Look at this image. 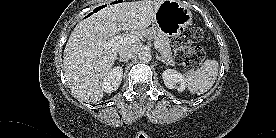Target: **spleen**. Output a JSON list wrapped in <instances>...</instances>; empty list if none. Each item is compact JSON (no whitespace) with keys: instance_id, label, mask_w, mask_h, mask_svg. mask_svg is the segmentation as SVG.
<instances>
[{"instance_id":"spleen-1","label":"spleen","mask_w":276,"mask_h":138,"mask_svg":"<svg viewBox=\"0 0 276 138\" xmlns=\"http://www.w3.org/2000/svg\"><path fill=\"white\" fill-rule=\"evenodd\" d=\"M219 64L216 60L207 59L204 64L194 70L186 72V85L189 91L194 94H203L214 84L218 74ZM185 75H183L185 77Z\"/></svg>"}]
</instances>
